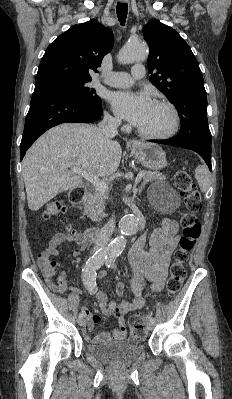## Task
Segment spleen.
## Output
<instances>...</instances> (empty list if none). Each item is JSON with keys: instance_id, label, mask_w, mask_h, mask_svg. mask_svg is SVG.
<instances>
[{"instance_id": "obj_1", "label": "spleen", "mask_w": 232, "mask_h": 399, "mask_svg": "<svg viewBox=\"0 0 232 399\" xmlns=\"http://www.w3.org/2000/svg\"><path fill=\"white\" fill-rule=\"evenodd\" d=\"M195 178L199 184L201 192H207L210 182V172L207 166H198L195 170Z\"/></svg>"}]
</instances>
